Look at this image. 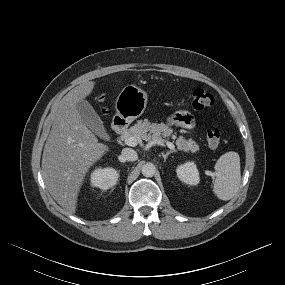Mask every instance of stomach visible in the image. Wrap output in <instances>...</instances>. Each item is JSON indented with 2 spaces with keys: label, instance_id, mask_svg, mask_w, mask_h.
<instances>
[{
  "label": "stomach",
  "instance_id": "stomach-1",
  "mask_svg": "<svg viewBox=\"0 0 285 285\" xmlns=\"http://www.w3.org/2000/svg\"><path fill=\"white\" fill-rule=\"evenodd\" d=\"M147 93L136 85H126L115 103L116 115L128 123L140 117L147 106Z\"/></svg>",
  "mask_w": 285,
  "mask_h": 285
}]
</instances>
